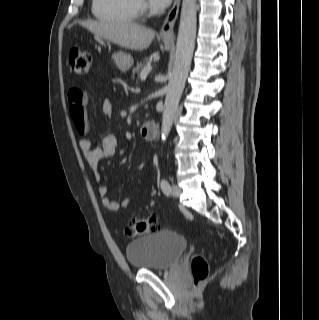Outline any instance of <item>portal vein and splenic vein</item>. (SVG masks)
I'll use <instances>...</instances> for the list:
<instances>
[{
	"label": "portal vein and splenic vein",
	"mask_w": 319,
	"mask_h": 320,
	"mask_svg": "<svg viewBox=\"0 0 319 320\" xmlns=\"http://www.w3.org/2000/svg\"><path fill=\"white\" fill-rule=\"evenodd\" d=\"M152 71L151 66L145 67L140 74L141 80H145L147 78V75Z\"/></svg>",
	"instance_id": "portal-vein-and-splenic-vein-1"
}]
</instances>
